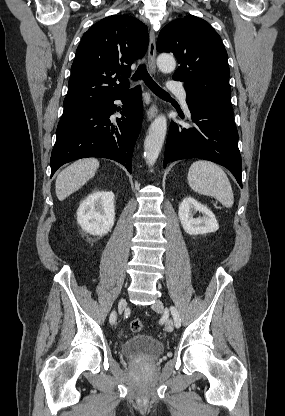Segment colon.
Segmentation results:
<instances>
[{
    "mask_svg": "<svg viewBox=\"0 0 285 416\" xmlns=\"http://www.w3.org/2000/svg\"><path fill=\"white\" fill-rule=\"evenodd\" d=\"M143 328V323L140 319H134L132 320V322L130 323V329L132 332H140Z\"/></svg>",
    "mask_w": 285,
    "mask_h": 416,
    "instance_id": "5ec220e1",
    "label": "colon"
}]
</instances>
